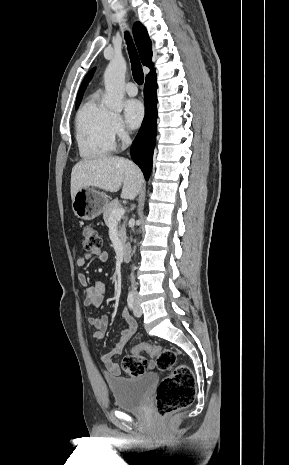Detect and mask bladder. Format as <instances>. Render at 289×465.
<instances>
[{
    "instance_id": "31cf9c89",
    "label": "bladder",
    "mask_w": 289,
    "mask_h": 465,
    "mask_svg": "<svg viewBox=\"0 0 289 465\" xmlns=\"http://www.w3.org/2000/svg\"><path fill=\"white\" fill-rule=\"evenodd\" d=\"M156 381L157 376L154 373H147L136 378L114 377L107 379L114 404L122 410L140 409Z\"/></svg>"
}]
</instances>
